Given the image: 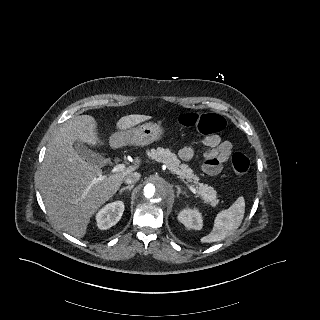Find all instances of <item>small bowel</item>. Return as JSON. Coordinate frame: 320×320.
<instances>
[{
	"label": "small bowel",
	"instance_id": "c3829d8e",
	"mask_svg": "<svg viewBox=\"0 0 320 320\" xmlns=\"http://www.w3.org/2000/svg\"><path fill=\"white\" fill-rule=\"evenodd\" d=\"M203 145L206 147L203 171L210 175L216 176L223 170L224 164L230 159L233 151V145L230 141L222 140L217 134H211L204 138ZM195 155L193 147H183L179 151V157L183 161H190Z\"/></svg>",
	"mask_w": 320,
	"mask_h": 320
}]
</instances>
